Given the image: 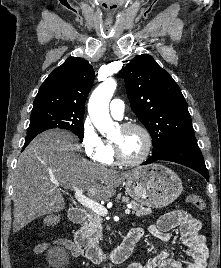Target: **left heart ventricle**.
I'll return each instance as SVG.
<instances>
[{"label": "left heart ventricle", "mask_w": 221, "mask_h": 268, "mask_svg": "<svg viewBox=\"0 0 221 268\" xmlns=\"http://www.w3.org/2000/svg\"><path fill=\"white\" fill-rule=\"evenodd\" d=\"M122 155L127 159L138 158L145 149V137L143 133L137 129L124 130L119 128L112 138Z\"/></svg>", "instance_id": "left-heart-ventricle-1"}]
</instances>
